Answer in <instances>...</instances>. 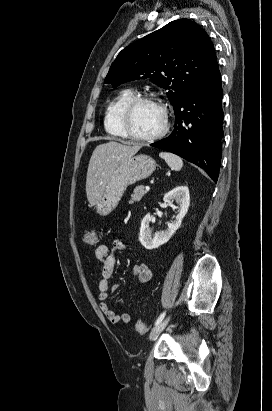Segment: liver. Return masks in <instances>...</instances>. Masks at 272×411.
<instances>
[{"instance_id":"6515ba94","label":"liver","mask_w":272,"mask_h":411,"mask_svg":"<svg viewBox=\"0 0 272 411\" xmlns=\"http://www.w3.org/2000/svg\"><path fill=\"white\" fill-rule=\"evenodd\" d=\"M142 146L123 145L115 141L96 146L89 161L86 178L87 199L92 206L98 204L113 171L134 156Z\"/></svg>"}]
</instances>
